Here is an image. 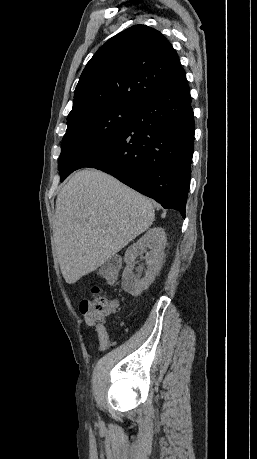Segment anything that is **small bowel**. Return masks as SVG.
Segmentation results:
<instances>
[{"mask_svg":"<svg viewBox=\"0 0 257 459\" xmlns=\"http://www.w3.org/2000/svg\"><path fill=\"white\" fill-rule=\"evenodd\" d=\"M114 281L115 280H110L109 282L114 283ZM117 309H118V302L114 300L112 313H115ZM83 319L87 326L93 327L97 331L98 338H99L98 350L104 351L108 349L110 345L109 334H108V330L104 322L102 320L95 319L94 316L91 314H85L83 316Z\"/></svg>","mask_w":257,"mask_h":459,"instance_id":"obj_1","label":"small bowel"}]
</instances>
